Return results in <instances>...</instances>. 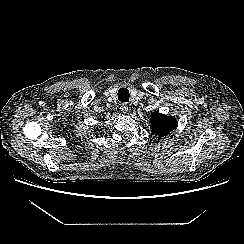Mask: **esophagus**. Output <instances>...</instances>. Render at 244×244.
I'll use <instances>...</instances> for the list:
<instances>
[{
  "label": "esophagus",
  "mask_w": 244,
  "mask_h": 244,
  "mask_svg": "<svg viewBox=\"0 0 244 244\" xmlns=\"http://www.w3.org/2000/svg\"><path fill=\"white\" fill-rule=\"evenodd\" d=\"M128 104L127 103H122L121 105H120V110L122 111V113H127V111H128Z\"/></svg>",
  "instance_id": "esophagus-1"
}]
</instances>
